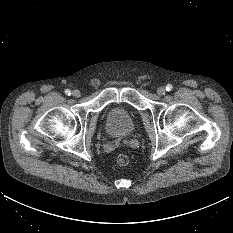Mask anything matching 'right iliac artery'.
Wrapping results in <instances>:
<instances>
[{
	"mask_svg": "<svg viewBox=\"0 0 233 233\" xmlns=\"http://www.w3.org/2000/svg\"><path fill=\"white\" fill-rule=\"evenodd\" d=\"M65 94L66 95H70L71 94V91L69 89L65 90Z\"/></svg>",
	"mask_w": 233,
	"mask_h": 233,
	"instance_id": "1",
	"label": "right iliac artery"
}]
</instances>
